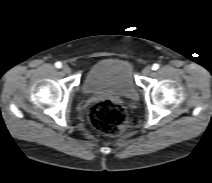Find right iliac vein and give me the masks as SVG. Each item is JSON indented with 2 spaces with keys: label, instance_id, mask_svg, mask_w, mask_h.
I'll list each match as a JSON object with an SVG mask.
<instances>
[{
  "label": "right iliac vein",
  "instance_id": "right-iliac-vein-1",
  "mask_svg": "<svg viewBox=\"0 0 212 183\" xmlns=\"http://www.w3.org/2000/svg\"><path fill=\"white\" fill-rule=\"evenodd\" d=\"M62 71H63L65 74H70V73H71V69H70V67L67 66V65L62 66Z\"/></svg>",
  "mask_w": 212,
  "mask_h": 183
}]
</instances>
